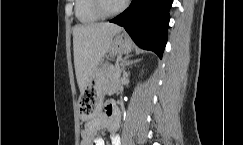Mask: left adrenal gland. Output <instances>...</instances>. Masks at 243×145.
Wrapping results in <instances>:
<instances>
[{"mask_svg": "<svg viewBox=\"0 0 243 145\" xmlns=\"http://www.w3.org/2000/svg\"><path fill=\"white\" fill-rule=\"evenodd\" d=\"M140 60L141 59L129 61L128 58H126L125 61H124L123 67H122V71L124 72L125 71V67L130 66L132 64H135V63L139 62Z\"/></svg>", "mask_w": 243, "mask_h": 145, "instance_id": "a2214340", "label": "left adrenal gland"}]
</instances>
